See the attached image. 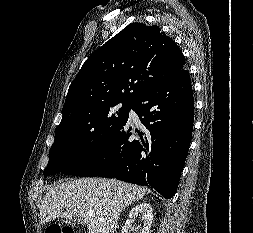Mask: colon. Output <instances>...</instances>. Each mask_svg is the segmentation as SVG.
<instances>
[{
  "mask_svg": "<svg viewBox=\"0 0 253 233\" xmlns=\"http://www.w3.org/2000/svg\"><path fill=\"white\" fill-rule=\"evenodd\" d=\"M45 233H74V230L70 226L61 227L58 224H51L47 227Z\"/></svg>",
  "mask_w": 253,
  "mask_h": 233,
  "instance_id": "obj_1",
  "label": "colon"
}]
</instances>
